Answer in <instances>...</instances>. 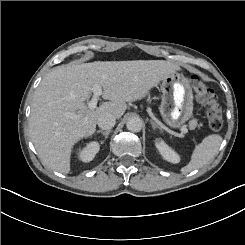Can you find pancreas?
Returning <instances> with one entry per match:
<instances>
[{"instance_id":"1","label":"pancreas","mask_w":245,"mask_h":245,"mask_svg":"<svg viewBox=\"0 0 245 245\" xmlns=\"http://www.w3.org/2000/svg\"><path fill=\"white\" fill-rule=\"evenodd\" d=\"M151 99L149 98L148 101H150ZM198 127V120L197 119H191L188 121V128L189 129H194Z\"/></svg>"}]
</instances>
